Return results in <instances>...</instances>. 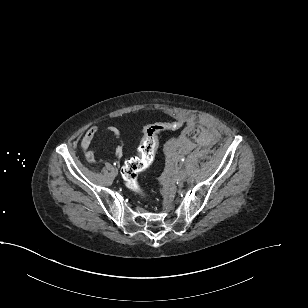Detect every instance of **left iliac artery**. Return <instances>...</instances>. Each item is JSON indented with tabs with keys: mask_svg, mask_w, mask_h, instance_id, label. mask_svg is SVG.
<instances>
[{
	"mask_svg": "<svg viewBox=\"0 0 308 308\" xmlns=\"http://www.w3.org/2000/svg\"><path fill=\"white\" fill-rule=\"evenodd\" d=\"M184 160H185L184 158L181 159L182 162H184Z\"/></svg>",
	"mask_w": 308,
	"mask_h": 308,
	"instance_id": "1",
	"label": "left iliac artery"
}]
</instances>
